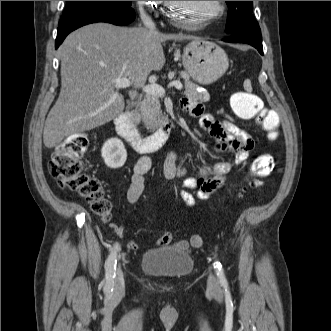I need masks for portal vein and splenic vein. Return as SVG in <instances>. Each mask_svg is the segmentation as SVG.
I'll list each match as a JSON object with an SVG mask.
<instances>
[{
  "label": "portal vein and splenic vein",
  "instance_id": "obj_1",
  "mask_svg": "<svg viewBox=\"0 0 331 331\" xmlns=\"http://www.w3.org/2000/svg\"><path fill=\"white\" fill-rule=\"evenodd\" d=\"M114 83L117 88H127L131 84L130 80L126 77L117 78L114 80ZM168 87H175L178 90H181L183 88L181 82H179V81L170 82ZM142 89L147 94L158 95V96H164V94H165L164 88L155 83L148 84V85L144 86Z\"/></svg>",
  "mask_w": 331,
  "mask_h": 331
}]
</instances>
